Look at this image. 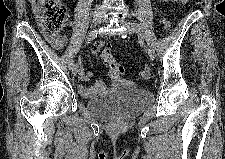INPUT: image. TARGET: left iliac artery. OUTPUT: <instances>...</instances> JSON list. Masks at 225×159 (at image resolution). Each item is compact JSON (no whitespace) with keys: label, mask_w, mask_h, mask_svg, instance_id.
<instances>
[{"label":"left iliac artery","mask_w":225,"mask_h":159,"mask_svg":"<svg viewBox=\"0 0 225 159\" xmlns=\"http://www.w3.org/2000/svg\"><path fill=\"white\" fill-rule=\"evenodd\" d=\"M133 27L136 28L139 32L142 33V36H141V41H143L145 44H150V40L148 39V35H147V32L146 30L140 26V24H137V23H133Z\"/></svg>","instance_id":"left-iliac-artery-1"}]
</instances>
